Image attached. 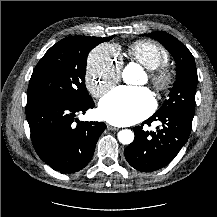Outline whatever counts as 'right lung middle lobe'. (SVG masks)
I'll list each match as a JSON object with an SVG mask.
<instances>
[{
	"instance_id": "obj_1",
	"label": "right lung middle lobe",
	"mask_w": 217,
	"mask_h": 217,
	"mask_svg": "<svg viewBox=\"0 0 217 217\" xmlns=\"http://www.w3.org/2000/svg\"><path fill=\"white\" fill-rule=\"evenodd\" d=\"M112 39L70 36L52 46L36 65L28 87L27 103L62 101L82 104L91 100L85 86L88 53Z\"/></svg>"
}]
</instances>
